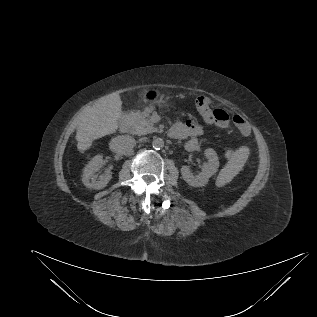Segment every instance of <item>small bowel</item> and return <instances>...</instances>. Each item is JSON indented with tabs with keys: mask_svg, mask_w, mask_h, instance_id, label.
<instances>
[{
	"mask_svg": "<svg viewBox=\"0 0 317 317\" xmlns=\"http://www.w3.org/2000/svg\"><path fill=\"white\" fill-rule=\"evenodd\" d=\"M227 119L224 123L219 125L225 126L227 124ZM234 122L243 135H248L250 133V126L243 117L236 115L234 117ZM202 134V127L192 120L178 122L170 129L171 137L175 139H189V146H193L197 142L198 137H200Z\"/></svg>",
	"mask_w": 317,
	"mask_h": 317,
	"instance_id": "small-bowel-1",
	"label": "small bowel"
}]
</instances>
